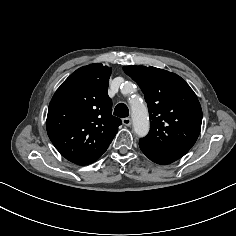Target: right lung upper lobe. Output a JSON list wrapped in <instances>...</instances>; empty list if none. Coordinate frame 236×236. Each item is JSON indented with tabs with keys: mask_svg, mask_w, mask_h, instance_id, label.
Instances as JSON below:
<instances>
[{
	"mask_svg": "<svg viewBox=\"0 0 236 236\" xmlns=\"http://www.w3.org/2000/svg\"><path fill=\"white\" fill-rule=\"evenodd\" d=\"M110 74V68L99 63L81 67L52 97L46 128L63 157L96 160L116 135L121 120L112 115Z\"/></svg>",
	"mask_w": 236,
	"mask_h": 236,
	"instance_id": "1",
	"label": "right lung upper lobe"
}]
</instances>
